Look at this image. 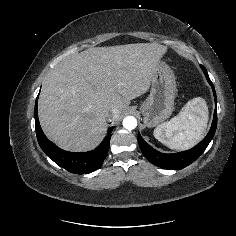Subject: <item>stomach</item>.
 <instances>
[{
	"instance_id": "stomach-1",
	"label": "stomach",
	"mask_w": 236,
	"mask_h": 236,
	"mask_svg": "<svg viewBox=\"0 0 236 236\" xmlns=\"http://www.w3.org/2000/svg\"><path fill=\"white\" fill-rule=\"evenodd\" d=\"M175 93V75L165 62L160 61L153 72L150 95L140 107L147 127H155L171 115Z\"/></svg>"
}]
</instances>
